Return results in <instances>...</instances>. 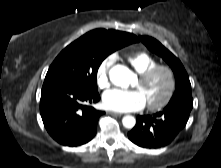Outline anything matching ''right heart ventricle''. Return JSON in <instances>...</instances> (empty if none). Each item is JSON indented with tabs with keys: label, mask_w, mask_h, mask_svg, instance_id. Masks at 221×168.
I'll list each match as a JSON object with an SVG mask.
<instances>
[{
	"label": "right heart ventricle",
	"mask_w": 221,
	"mask_h": 168,
	"mask_svg": "<svg viewBox=\"0 0 221 168\" xmlns=\"http://www.w3.org/2000/svg\"><path fill=\"white\" fill-rule=\"evenodd\" d=\"M127 60L138 74H141L158 64V60L146 52L131 54L127 57Z\"/></svg>",
	"instance_id": "right-heart-ventricle-1"
}]
</instances>
